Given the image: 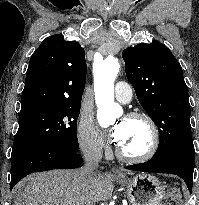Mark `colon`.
I'll list each match as a JSON object with an SVG mask.
<instances>
[{"instance_id": "5ec220e1", "label": "colon", "mask_w": 199, "mask_h": 205, "mask_svg": "<svg viewBox=\"0 0 199 205\" xmlns=\"http://www.w3.org/2000/svg\"><path fill=\"white\" fill-rule=\"evenodd\" d=\"M180 204V190L172 188L163 199L161 205H179Z\"/></svg>"}]
</instances>
